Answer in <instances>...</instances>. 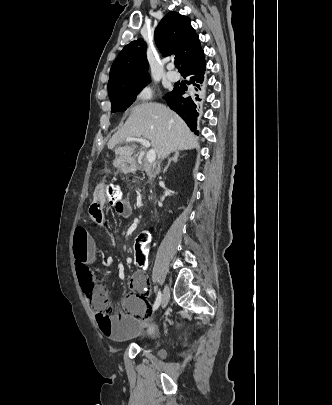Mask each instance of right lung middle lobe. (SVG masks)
<instances>
[{"mask_svg": "<svg viewBox=\"0 0 332 405\" xmlns=\"http://www.w3.org/2000/svg\"><path fill=\"white\" fill-rule=\"evenodd\" d=\"M150 81V78L131 79L119 83L108 90L111 112L125 111L136 99L137 93Z\"/></svg>", "mask_w": 332, "mask_h": 405, "instance_id": "right-lung-middle-lobe-1", "label": "right lung middle lobe"}]
</instances>
